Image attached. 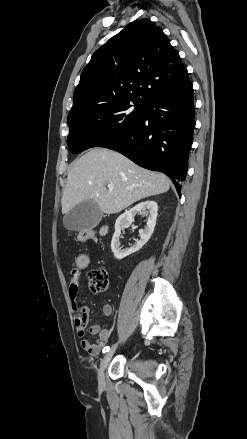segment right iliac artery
Returning a JSON list of instances; mask_svg holds the SVG:
<instances>
[{
	"label": "right iliac artery",
	"mask_w": 247,
	"mask_h": 439,
	"mask_svg": "<svg viewBox=\"0 0 247 439\" xmlns=\"http://www.w3.org/2000/svg\"><path fill=\"white\" fill-rule=\"evenodd\" d=\"M108 351H109V346H105V347L103 348V350H102L103 353H106V352H108Z\"/></svg>",
	"instance_id": "obj_1"
}]
</instances>
